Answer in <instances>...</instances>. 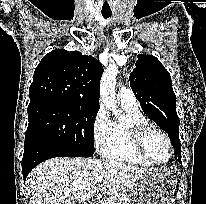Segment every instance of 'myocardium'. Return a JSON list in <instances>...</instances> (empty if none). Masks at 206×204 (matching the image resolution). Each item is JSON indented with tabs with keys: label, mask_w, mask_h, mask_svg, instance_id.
I'll return each instance as SVG.
<instances>
[{
	"label": "myocardium",
	"mask_w": 206,
	"mask_h": 204,
	"mask_svg": "<svg viewBox=\"0 0 206 204\" xmlns=\"http://www.w3.org/2000/svg\"><path fill=\"white\" fill-rule=\"evenodd\" d=\"M151 132L159 133L167 142L168 147H169V151H170L167 160L161 161V162L156 161L148 154L146 147H145V141H146L147 136ZM133 142H134V146H135L136 151L141 155V157H143L145 160H147L149 163H151L153 165H165L172 159V157L174 155L173 144H172V141H171L170 137L168 136V134L164 130H162L161 128H159L151 123L140 125L134 130Z\"/></svg>",
	"instance_id": "obj_1"
}]
</instances>
